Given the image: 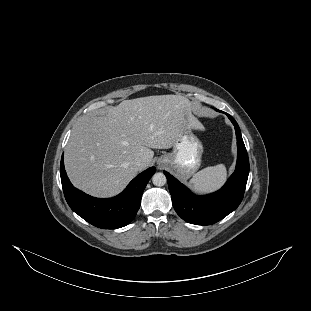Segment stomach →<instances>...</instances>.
<instances>
[{
    "instance_id": "0dacf381",
    "label": "stomach",
    "mask_w": 311,
    "mask_h": 311,
    "mask_svg": "<svg viewBox=\"0 0 311 311\" xmlns=\"http://www.w3.org/2000/svg\"><path fill=\"white\" fill-rule=\"evenodd\" d=\"M182 132L172 152L159 157L157 164L168 165L181 179L186 180L200 168L204 147L186 122H183Z\"/></svg>"
}]
</instances>
